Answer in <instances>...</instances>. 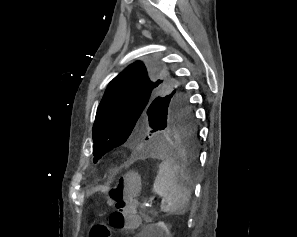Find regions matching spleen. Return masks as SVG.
Listing matches in <instances>:
<instances>
[{
    "label": "spleen",
    "instance_id": "3e777b00",
    "mask_svg": "<svg viewBox=\"0 0 297 237\" xmlns=\"http://www.w3.org/2000/svg\"><path fill=\"white\" fill-rule=\"evenodd\" d=\"M190 182L169 161L159 165V171L153 184V191L162 197L160 209L174 215L186 213L190 200Z\"/></svg>",
    "mask_w": 297,
    "mask_h": 237
}]
</instances>
